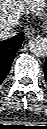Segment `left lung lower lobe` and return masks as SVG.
Segmentation results:
<instances>
[{
	"label": "left lung lower lobe",
	"instance_id": "obj_1",
	"mask_svg": "<svg viewBox=\"0 0 47 129\" xmlns=\"http://www.w3.org/2000/svg\"><path fill=\"white\" fill-rule=\"evenodd\" d=\"M44 75H45V78H46V81H47V60L44 64Z\"/></svg>",
	"mask_w": 47,
	"mask_h": 129
}]
</instances>
